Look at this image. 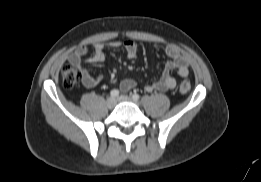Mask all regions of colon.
I'll use <instances>...</instances> for the list:
<instances>
[{
	"label": "colon",
	"instance_id": "colon-1",
	"mask_svg": "<svg viewBox=\"0 0 261 182\" xmlns=\"http://www.w3.org/2000/svg\"><path fill=\"white\" fill-rule=\"evenodd\" d=\"M80 71L77 68L71 66H64L61 71L62 83L66 88H72L80 79ZM191 85L188 80H183L179 89L182 93H186L190 90Z\"/></svg>",
	"mask_w": 261,
	"mask_h": 182
}]
</instances>
